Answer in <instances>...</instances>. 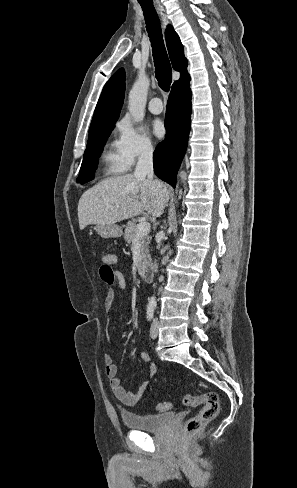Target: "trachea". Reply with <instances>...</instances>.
Listing matches in <instances>:
<instances>
[{
  "label": "trachea",
  "mask_w": 297,
  "mask_h": 488,
  "mask_svg": "<svg viewBox=\"0 0 297 488\" xmlns=\"http://www.w3.org/2000/svg\"><path fill=\"white\" fill-rule=\"evenodd\" d=\"M139 3L144 12L146 28L151 41L156 79L160 88L168 92L172 82V70L164 45L159 18L151 2L139 0Z\"/></svg>",
  "instance_id": "trachea-1"
}]
</instances>
